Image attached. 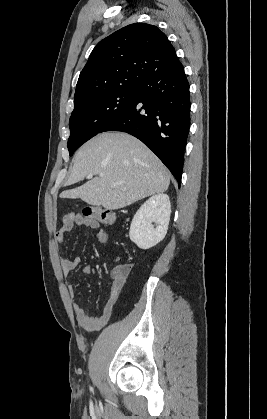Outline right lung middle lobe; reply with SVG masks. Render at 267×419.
Wrapping results in <instances>:
<instances>
[{
    "label": "right lung middle lobe",
    "mask_w": 267,
    "mask_h": 419,
    "mask_svg": "<svg viewBox=\"0 0 267 419\" xmlns=\"http://www.w3.org/2000/svg\"><path fill=\"white\" fill-rule=\"evenodd\" d=\"M139 86L109 90L86 97L74 104L69 126L70 156L83 143L104 131L134 100Z\"/></svg>",
    "instance_id": "1"
}]
</instances>
